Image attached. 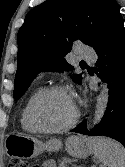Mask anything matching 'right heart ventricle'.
<instances>
[{
    "label": "right heart ventricle",
    "mask_w": 125,
    "mask_h": 167,
    "mask_svg": "<svg viewBox=\"0 0 125 167\" xmlns=\"http://www.w3.org/2000/svg\"><path fill=\"white\" fill-rule=\"evenodd\" d=\"M41 90H42V88L40 86L35 88V90L31 93V95L29 96V98L25 102V104L21 110V113H20V123H21L22 128L28 132H31V133H35L37 131L34 129L32 123L29 119V109H30V106H31L33 100L40 93Z\"/></svg>",
    "instance_id": "1"
}]
</instances>
